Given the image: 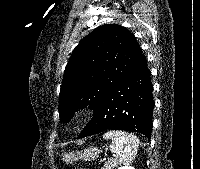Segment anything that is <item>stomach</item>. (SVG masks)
<instances>
[{"mask_svg":"<svg viewBox=\"0 0 200 169\" xmlns=\"http://www.w3.org/2000/svg\"><path fill=\"white\" fill-rule=\"evenodd\" d=\"M100 153V150L97 147H89L84 149L81 152H70L65 153L63 155L62 160L67 163H72L77 160H94L96 157H98V154Z\"/></svg>","mask_w":200,"mask_h":169,"instance_id":"obj_1","label":"stomach"}]
</instances>
